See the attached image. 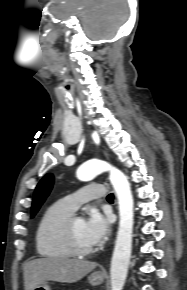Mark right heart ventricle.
Wrapping results in <instances>:
<instances>
[{
  "label": "right heart ventricle",
  "instance_id": "right-heart-ventricle-1",
  "mask_svg": "<svg viewBox=\"0 0 187 290\" xmlns=\"http://www.w3.org/2000/svg\"><path fill=\"white\" fill-rule=\"evenodd\" d=\"M73 212L62 200L51 204L44 211L35 234L36 250L40 256L47 259L73 256L62 236V225Z\"/></svg>",
  "mask_w": 187,
  "mask_h": 290
}]
</instances>
